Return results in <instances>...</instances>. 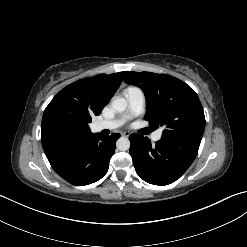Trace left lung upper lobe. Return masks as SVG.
I'll use <instances>...</instances> for the list:
<instances>
[{
  "instance_id": "5c2ea615",
  "label": "left lung upper lobe",
  "mask_w": 247,
  "mask_h": 247,
  "mask_svg": "<svg viewBox=\"0 0 247 247\" xmlns=\"http://www.w3.org/2000/svg\"><path fill=\"white\" fill-rule=\"evenodd\" d=\"M123 80L140 87L146 97L145 119L164 126L162 137L198 152L205 116L195 91L181 80L151 72H122Z\"/></svg>"
}]
</instances>
